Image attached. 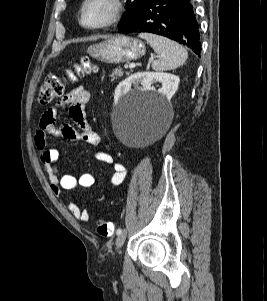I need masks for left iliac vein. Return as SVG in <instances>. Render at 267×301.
I'll list each match as a JSON object with an SVG mask.
<instances>
[{
	"mask_svg": "<svg viewBox=\"0 0 267 301\" xmlns=\"http://www.w3.org/2000/svg\"><path fill=\"white\" fill-rule=\"evenodd\" d=\"M127 236V231L123 230L120 234H118L117 238H116V246L118 249H120L122 247V245L125 242Z\"/></svg>",
	"mask_w": 267,
	"mask_h": 301,
	"instance_id": "1",
	"label": "left iliac vein"
}]
</instances>
